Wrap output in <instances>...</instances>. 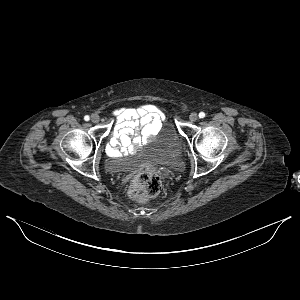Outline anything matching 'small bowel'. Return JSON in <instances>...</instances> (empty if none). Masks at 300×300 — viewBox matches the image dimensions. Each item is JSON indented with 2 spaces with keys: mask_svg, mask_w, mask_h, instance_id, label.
Returning a JSON list of instances; mask_svg holds the SVG:
<instances>
[{
  "mask_svg": "<svg viewBox=\"0 0 300 300\" xmlns=\"http://www.w3.org/2000/svg\"><path fill=\"white\" fill-rule=\"evenodd\" d=\"M113 115L115 126L106 149L110 156H119L150 141L164 119V114L150 104L138 108H120Z\"/></svg>",
  "mask_w": 300,
  "mask_h": 300,
  "instance_id": "small-bowel-1",
  "label": "small bowel"
}]
</instances>
